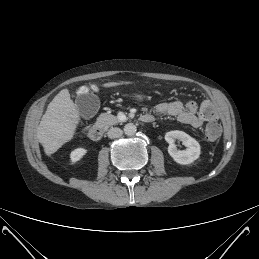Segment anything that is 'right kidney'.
Instances as JSON below:
<instances>
[{"label":"right kidney","instance_id":"right-kidney-1","mask_svg":"<svg viewBox=\"0 0 259 259\" xmlns=\"http://www.w3.org/2000/svg\"><path fill=\"white\" fill-rule=\"evenodd\" d=\"M87 153V150L84 148H77L75 150H73L70 154V160L71 163L74 164L77 161H79L80 159H82V157Z\"/></svg>","mask_w":259,"mask_h":259}]
</instances>
